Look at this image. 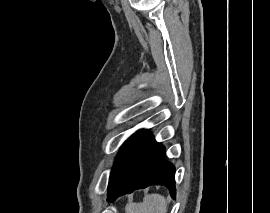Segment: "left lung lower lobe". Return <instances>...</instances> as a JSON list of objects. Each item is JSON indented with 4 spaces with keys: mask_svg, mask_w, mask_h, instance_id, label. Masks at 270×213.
Wrapping results in <instances>:
<instances>
[{
    "mask_svg": "<svg viewBox=\"0 0 270 213\" xmlns=\"http://www.w3.org/2000/svg\"><path fill=\"white\" fill-rule=\"evenodd\" d=\"M164 147L147 130L137 131L118 153L111 170L108 201L150 185L166 186L175 197V168L164 159Z\"/></svg>",
    "mask_w": 270,
    "mask_h": 213,
    "instance_id": "0a47b994",
    "label": "left lung lower lobe"
}]
</instances>
